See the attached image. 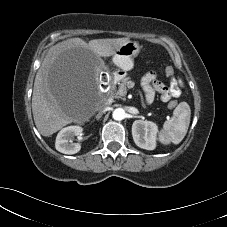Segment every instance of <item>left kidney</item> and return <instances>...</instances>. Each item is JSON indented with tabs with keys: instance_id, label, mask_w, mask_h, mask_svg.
Returning <instances> with one entry per match:
<instances>
[{
	"instance_id": "5707ae66",
	"label": "left kidney",
	"mask_w": 227,
	"mask_h": 227,
	"mask_svg": "<svg viewBox=\"0 0 227 227\" xmlns=\"http://www.w3.org/2000/svg\"><path fill=\"white\" fill-rule=\"evenodd\" d=\"M158 126L151 121L136 120L132 125V136L135 144L146 150L156 148Z\"/></svg>"
}]
</instances>
